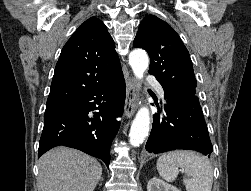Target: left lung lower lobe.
<instances>
[{"label": "left lung lower lobe", "mask_w": 251, "mask_h": 191, "mask_svg": "<svg viewBox=\"0 0 251 191\" xmlns=\"http://www.w3.org/2000/svg\"><path fill=\"white\" fill-rule=\"evenodd\" d=\"M165 101L166 104L160 108L155 100L158 114L153 116V127L146 150L158 154L183 149L210 155L212 144L198 97L170 96Z\"/></svg>", "instance_id": "obj_1"}]
</instances>
